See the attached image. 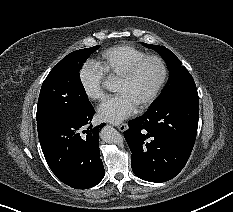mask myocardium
Masks as SVG:
<instances>
[{
  "label": "myocardium",
  "instance_id": "1",
  "mask_svg": "<svg viewBox=\"0 0 233 212\" xmlns=\"http://www.w3.org/2000/svg\"><path fill=\"white\" fill-rule=\"evenodd\" d=\"M148 60H156L161 67V76L160 79L155 86L152 93L145 99L138 107L139 109H145L149 107L159 96L162 88L164 87L167 77H168V67L165 60L156 54H147L137 60H135L120 76L119 79L128 81L134 77L138 69L141 67L143 63Z\"/></svg>",
  "mask_w": 233,
  "mask_h": 212
}]
</instances>
